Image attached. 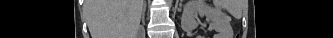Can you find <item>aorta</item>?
Wrapping results in <instances>:
<instances>
[{
  "mask_svg": "<svg viewBox=\"0 0 333 38\" xmlns=\"http://www.w3.org/2000/svg\"><path fill=\"white\" fill-rule=\"evenodd\" d=\"M167 2H168L169 4H171V3H172V0H167Z\"/></svg>",
  "mask_w": 333,
  "mask_h": 38,
  "instance_id": "obj_1",
  "label": "aorta"
}]
</instances>
